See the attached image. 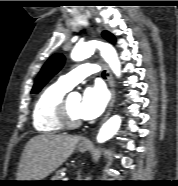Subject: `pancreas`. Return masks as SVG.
I'll use <instances>...</instances> for the list:
<instances>
[{"mask_svg":"<svg viewBox=\"0 0 178 186\" xmlns=\"http://www.w3.org/2000/svg\"><path fill=\"white\" fill-rule=\"evenodd\" d=\"M62 179V176H61V170L60 171H57L55 176L53 177V181H60Z\"/></svg>","mask_w":178,"mask_h":186,"instance_id":"pancreas-1","label":"pancreas"}]
</instances>
